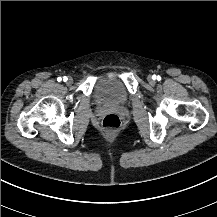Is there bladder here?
Masks as SVG:
<instances>
[{"label":"bladder","instance_id":"31cf9c89","mask_svg":"<svg viewBox=\"0 0 217 217\" xmlns=\"http://www.w3.org/2000/svg\"><path fill=\"white\" fill-rule=\"evenodd\" d=\"M96 98L109 105H123L128 101L126 87L113 78L105 79L97 88Z\"/></svg>","mask_w":217,"mask_h":217}]
</instances>
